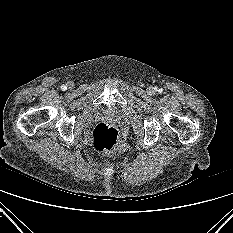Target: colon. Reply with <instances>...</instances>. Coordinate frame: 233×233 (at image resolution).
<instances>
[{"instance_id":"1","label":"colon","mask_w":233,"mask_h":233,"mask_svg":"<svg viewBox=\"0 0 233 233\" xmlns=\"http://www.w3.org/2000/svg\"><path fill=\"white\" fill-rule=\"evenodd\" d=\"M92 145L99 151H112L119 142V133L115 127L107 123H99L91 134Z\"/></svg>"}]
</instances>
